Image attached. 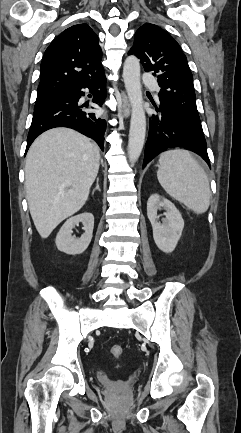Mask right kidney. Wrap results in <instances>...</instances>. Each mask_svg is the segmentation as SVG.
Listing matches in <instances>:
<instances>
[{"instance_id": "ca27d5eb", "label": "right kidney", "mask_w": 241, "mask_h": 433, "mask_svg": "<svg viewBox=\"0 0 241 433\" xmlns=\"http://www.w3.org/2000/svg\"><path fill=\"white\" fill-rule=\"evenodd\" d=\"M82 223L84 234L80 238L72 236V229L75 225ZM94 228V216L85 212L69 218L59 230L56 236V246L59 251L70 255L83 253L89 246Z\"/></svg>"}]
</instances>
